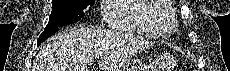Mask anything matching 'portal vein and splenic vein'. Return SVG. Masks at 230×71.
Segmentation results:
<instances>
[{
	"instance_id": "18ae733b",
	"label": "portal vein and splenic vein",
	"mask_w": 230,
	"mask_h": 71,
	"mask_svg": "<svg viewBox=\"0 0 230 71\" xmlns=\"http://www.w3.org/2000/svg\"><path fill=\"white\" fill-rule=\"evenodd\" d=\"M102 58V54L101 53H99V54H97L96 56H95V59H97V60H99V59H101Z\"/></svg>"
}]
</instances>
